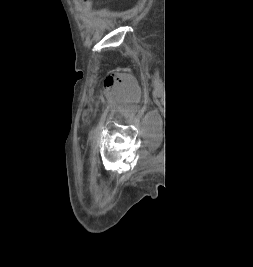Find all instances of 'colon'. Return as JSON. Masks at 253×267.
Wrapping results in <instances>:
<instances>
[{"label": "colon", "instance_id": "5ec220e1", "mask_svg": "<svg viewBox=\"0 0 253 267\" xmlns=\"http://www.w3.org/2000/svg\"><path fill=\"white\" fill-rule=\"evenodd\" d=\"M85 3H89V0H83Z\"/></svg>", "mask_w": 253, "mask_h": 267}]
</instances>
